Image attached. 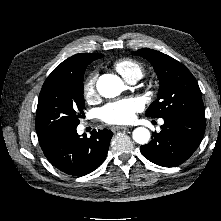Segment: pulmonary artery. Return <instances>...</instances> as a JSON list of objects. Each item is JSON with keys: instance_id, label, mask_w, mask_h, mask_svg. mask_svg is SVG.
<instances>
[{"instance_id": "pulmonary-artery-1", "label": "pulmonary artery", "mask_w": 221, "mask_h": 221, "mask_svg": "<svg viewBox=\"0 0 221 221\" xmlns=\"http://www.w3.org/2000/svg\"><path fill=\"white\" fill-rule=\"evenodd\" d=\"M136 79H132V80H130V81H128L129 83H131V84H134V83H136Z\"/></svg>"}]
</instances>
